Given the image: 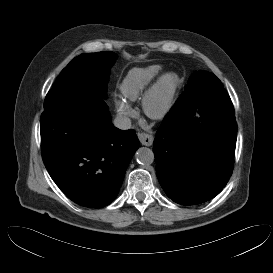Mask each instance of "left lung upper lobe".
<instances>
[{
    "mask_svg": "<svg viewBox=\"0 0 273 273\" xmlns=\"http://www.w3.org/2000/svg\"><path fill=\"white\" fill-rule=\"evenodd\" d=\"M215 76L207 71H195L188 80V84L185 86V91L181 94L178 99H185L187 96L192 95L202 84L206 83L208 77Z\"/></svg>",
    "mask_w": 273,
    "mask_h": 273,
    "instance_id": "obj_1",
    "label": "left lung upper lobe"
}]
</instances>
